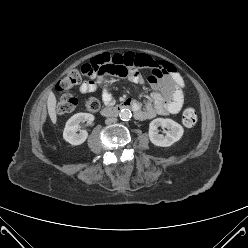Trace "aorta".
Masks as SVG:
<instances>
[{
  "instance_id": "762f6f07",
  "label": "aorta",
  "mask_w": 248,
  "mask_h": 248,
  "mask_svg": "<svg viewBox=\"0 0 248 248\" xmlns=\"http://www.w3.org/2000/svg\"><path fill=\"white\" fill-rule=\"evenodd\" d=\"M132 116V113L129 109H122L119 113V117L123 121H128Z\"/></svg>"
}]
</instances>
